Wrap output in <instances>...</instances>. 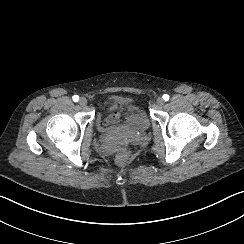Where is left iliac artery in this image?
Returning <instances> with one entry per match:
<instances>
[{
    "instance_id": "left-iliac-artery-1",
    "label": "left iliac artery",
    "mask_w": 244,
    "mask_h": 244,
    "mask_svg": "<svg viewBox=\"0 0 244 244\" xmlns=\"http://www.w3.org/2000/svg\"><path fill=\"white\" fill-rule=\"evenodd\" d=\"M163 99H164L165 101H168V100H169V95L164 94V95H163Z\"/></svg>"
}]
</instances>
